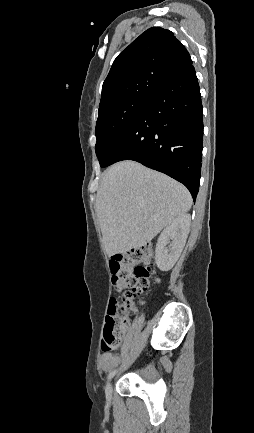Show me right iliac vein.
<instances>
[{"label": "right iliac vein", "mask_w": 254, "mask_h": 433, "mask_svg": "<svg viewBox=\"0 0 254 433\" xmlns=\"http://www.w3.org/2000/svg\"><path fill=\"white\" fill-rule=\"evenodd\" d=\"M112 381H109L105 387V394L108 401L111 400Z\"/></svg>", "instance_id": "right-iliac-vein-1"}]
</instances>
